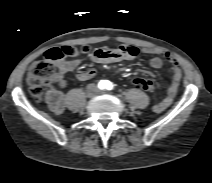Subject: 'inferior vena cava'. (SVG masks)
<instances>
[{
  "label": "inferior vena cava",
  "mask_w": 212,
  "mask_h": 183,
  "mask_svg": "<svg viewBox=\"0 0 212 183\" xmlns=\"http://www.w3.org/2000/svg\"><path fill=\"white\" fill-rule=\"evenodd\" d=\"M88 87H89V88L96 89V87H95V85H94V84H90Z\"/></svg>",
  "instance_id": "1"
}]
</instances>
